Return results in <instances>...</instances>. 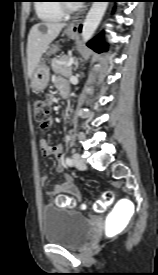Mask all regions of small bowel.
I'll return each instance as SVG.
<instances>
[{
    "label": "small bowel",
    "instance_id": "obj_1",
    "mask_svg": "<svg viewBox=\"0 0 158 275\" xmlns=\"http://www.w3.org/2000/svg\"><path fill=\"white\" fill-rule=\"evenodd\" d=\"M56 86L58 87V89L60 91H61V89L65 88V87H69L67 82L62 78H58L56 80ZM51 125H52V120L48 119L46 121L45 128H49ZM39 146H40L41 154L44 157L52 156L58 161V163L56 165V171L58 173H63V171H64V165L62 162L63 147L61 145L51 146L43 139L40 140ZM46 182H47V177L44 175L40 176V178H39L40 185L43 186L46 184ZM61 193H68V194L72 195L76 200H78V201L80 200V193H79L78 189L73 185L72 178L68 174L64 175L63 181L60 184H57V185L53 186L52 188L45 191L46 196H48L50 198L58 196Z\"/></svg>",
    "mask_w": 158,
    "mask_h": 275
}]
</instances>
